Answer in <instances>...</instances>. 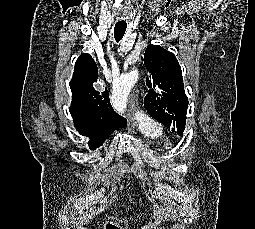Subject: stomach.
Returning a JSON list of instances; mask_svg holds the SVG:
<instances>
[{"mask_svg":"<svg viewBox=\"0 0 255 229\" xmlns=\"http://www.w3.org/2000/svg\"><path fill=\"white\" fill-rule=\"evenodd\" d=\"M116 229H118V228H116ZM151 229H159V228H157L156 226H153Z\"/></svg>","mask_w":255,"mask_h":229,"instance_id":"obj_1","label":"stomach"}]
</instances>
